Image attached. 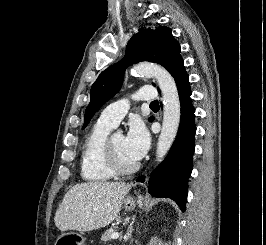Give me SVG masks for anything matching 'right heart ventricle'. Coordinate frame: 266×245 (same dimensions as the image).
Wrapping results in <instances>:
<instances>
[{
	"instance_id": "obj_1",
	"label": "right heart ventricle",
	"mask_w": 266,
	"mask_h": 245,
	"mask_svg": "<svg viewBox=\"0 0 266 245\" xmlns=\"http://www.w3.org/2000/svg\"><path fill=\"white\" fill-rule=\"evenodd\" d=\"M112 128L111 124L97 120L86 135L81 153L80 174L89 184L101 185L115 178L103 159L104 144Z\"/></svg>"
}]
</instances>
